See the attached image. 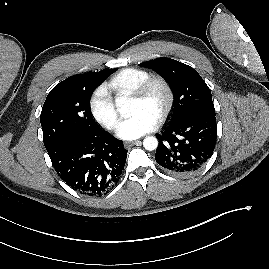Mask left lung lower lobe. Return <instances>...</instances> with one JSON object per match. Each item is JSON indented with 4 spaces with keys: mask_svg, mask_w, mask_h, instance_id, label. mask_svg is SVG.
Segmentation results:
<instances>
[{
    "mask_svg": "<svg viewBox=\"0 0 269 269\" xmlns=\"http://www.w3.org/2000/svg\"><path fill=\"white\" fill-rule=\"evenodd\" d=\"M159 145L155 159L167 172L188 176L199 171L211 158L217 138L213 114L189 116L156 136Z\"/></svg>",
    "mask_w": 269,
    "mask_h": 269,
    "instance_id": "left-lung-lower-lobe-1",
    "label": "left lung lower lobe"
}]
</instances>
